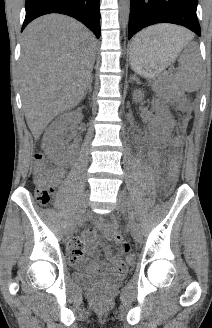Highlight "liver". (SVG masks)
Listing matches in <instances>:
<instances>
[{
	"label": "liver",
	"instance_id": "6515ba94",
	"mask_svg": "<svg viewBox=\"0 0 212 328\" xmlns=\"http://www.w3.org/2000/svg\"><path fill=\"white\" fill-rule=\"evenodd\" d=\"M158 40L186 44L193 35L174 25L149 29ZM19 63L26 122L35 139L60 113L80 103L91 79L96 39L80 22L50 14L32 21L23 32Z\"/></svg>",
	"mask_w": 212,
	"mask_h": 328
}]
</instances>
